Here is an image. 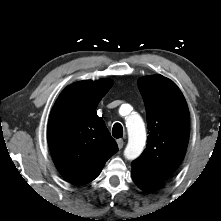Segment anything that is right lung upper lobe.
I'll use <instances>...</instances> for the list:
<instances>
[{
  "label": "right lung upper lobe",
  "instance_id": "right-lung-upper-lobe-1",
  "mask_svg": "<svg viewBox=\"0 0 221 221\" xmlns=\"http://www.w3.org/2000/svg\"><path fill=\"white\" fill-rule=\"evenodd\" d=\"M112 81L84 80L68 86L58 97L48 123V144L60 174L75 184H86L117 152L96 108Z\"/></svg>",
  "mask_w": 221,
  "mask_h": 221
}]
</instances>
